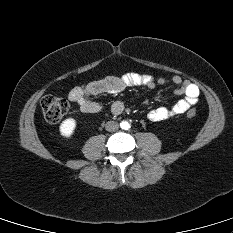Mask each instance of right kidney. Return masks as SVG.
<instances>
[{"mask_svg":"<svg viewBox=\"0 0 233 233\" xmlns=\"http://www.w3.org/2000/svg\"><path fill=\"white\" fill-rule=\"evenodd\" d=\"M76 128V121L73 118L64 120L60 125V133L63 137L70 138Z\"/></svg>","mask_w":233,"mask_h":233,"instance_id":"ca27d5eb","label":"right kidney"}]
</instances>
